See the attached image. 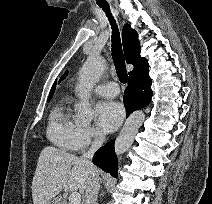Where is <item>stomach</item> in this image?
Segmentation results:
<instances>
[{"mask_svg":"<svg viewBox=\"0 0 212 204\" xmlns=\"http://www.w3.org/2000/svg\"><path fill=\"white\" fill-rule=\"evenodd\" d=\"M47 204H62V202L59 199H51Z\"/></svg>","mask_w":212,"mask_h":204,"instance_id":"stomach-1","label":"stomach"}]
</instances>
